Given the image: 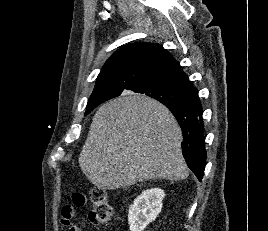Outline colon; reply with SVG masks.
<instances>
[{
	"label": "colon",
	"mask_w": 268,
	"mask_h": 231,
	"mask_svg": "<svg viewBox=\"0 0 268 231\" xmlns=\"http://www.w3.org/2000/svg\"><path fill=\"white\" fill-rule=\"evenodd\" d=\"M89 196L93 204L89 212L91 222L98 226L108 225L113 213L108 194L101 188L93 187Z\"/></svg>",
	"instance_id": "5ec220e1"
}]
</instances>
